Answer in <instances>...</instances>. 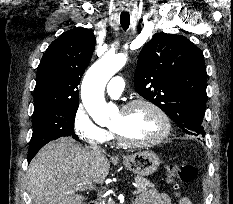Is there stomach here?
I'll return each mask as SVG.
<instances>
[{"label":"stomach","mask_w":233,"mask_h":204,"mask_svg":"<svg viewBox=\"0 0 233 204\" xmlns=\"http://www.w3.org/2000/svg\"><path fill=\"white\" fill-rule=\"evenodd\" d=\"M125 167L138 176L153 174L160 165V159L156 153L149 150L139 151L123 157Z\"/></svg>","instance_id":"stomach-1"}]
</instances>
